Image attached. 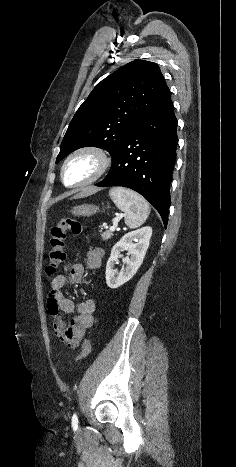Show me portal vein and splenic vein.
<instances>
[{
    "label": "portal vein and splenic vein",
    "instance_id": "portal-vein-and-splenic-vein-1",
    "mask_svg": "<svg viewBox=\"0 0 236 467\" xmlns=\"http://www.w3.org/2000/svg\"><path fill=\"white\" fill-rule=\"evenodd\" d=\"M117 223H118V219H115L113 221V226L110 227V231H115L116 227H117Z\"/></svg>",
    "mask_w": 236,
    "mask_h": 467
}]
</instances>
